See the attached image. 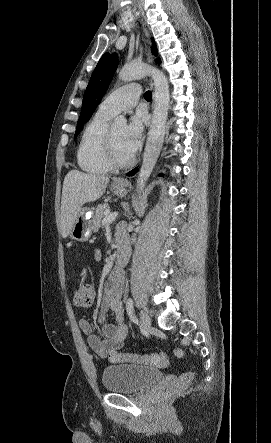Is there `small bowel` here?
<instances>
[{
    "label": "small bowel",
    "instance_id": "c3829d8e",
    "mask_svg": "<svg viewBox=\"0 0 271 443\" xmlns=\"http://www.w3.org/2000/svg\"><path fill=\"white\" fill-rule=\"evenodd\" d=\"M123 290V275L119 271H115L105 285L103 303L98 315L101 335L95 334L94 325L88 319H81L79 322L82 332L88 337L89 347L102 358H106L111 352L120 349L128 335V326L125 322L122 305ZM109 310L114 313L115 323L106 322Z\"/></svg>",
    "mask_w": 271,
    "mask_h": 443
}]
</instances>
